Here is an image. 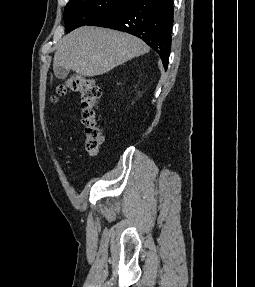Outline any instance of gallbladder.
I'll use <instances>...</instances> for the list:
<instances>
[{
    "mask_svg": "<svg viewBox=\"0 0 255 287\" xmlns=\"http://www.w3.org/2000/svg\"><path fill=\"white\" fill-rule=\"evenodd\" d=\"M53 70L56 78H59V80H64L69 74V70L62 68V66H54Z\"/></svg>",
    "mask_w": 255,
    "mask_h": 287,
    "instance_id": "obj_1",
    "label": "gallbladder"
}]
</instances>
